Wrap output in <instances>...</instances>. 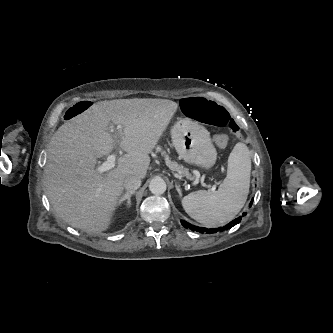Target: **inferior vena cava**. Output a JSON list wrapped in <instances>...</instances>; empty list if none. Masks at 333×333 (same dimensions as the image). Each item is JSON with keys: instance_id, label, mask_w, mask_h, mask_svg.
<instances>
[{"instance_id": "1", "label": "inferior vena cava", "mask_w": 333, "mask_h": 333, "mask_svg": "<svg viewBox=\"0 0 333 333\" xmlns=\"http://www.w3.org/2000/svg\"><path fill=\"white\" fill-rule=\"evenodd\" d=\"M140 185H141V179L136 176H130L124 180V188L128 192H134L140 187Z\"/></svg>"}]
</instances>
